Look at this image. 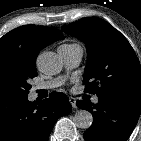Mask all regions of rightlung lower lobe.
Listing matches in <instances>:
<instances>
[{
	"instance_id": "98d812e1",
	"label": "right lung lower lobe",
	"mask_w": 141,
	"mask_h": 141,
	"mask_svg": "<svg viewBox=\"0 0 141 141\" xmlns=\"http://www.w3.org/2000/svg\"><path fill=\"white\" fill-rule=\"evenodd\" d=\"M71 110L60 92L40 103L28 101L27 96L0 97V141H48L57 119Z\"/></svg>"
}]
</instances>
